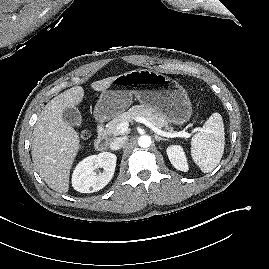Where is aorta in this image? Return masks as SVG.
Instances as JSON below:
<instances>
[{"instance_id":"obj_1","label":"aorta","mask_w":269,"mask_h":269,"mask_svg":"<svg viewBox=\"0 0 269 269\" xmlns=\"http://www.w3.org/2000/svg\"><path fill=\"white\" fill-rule=\"evenodd\" d=\"M151 143H152L151 137L148 135H143L138 138V144L142 148L150 147Z\"/></svg>"}]
</instances>
